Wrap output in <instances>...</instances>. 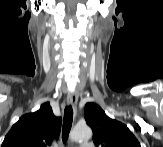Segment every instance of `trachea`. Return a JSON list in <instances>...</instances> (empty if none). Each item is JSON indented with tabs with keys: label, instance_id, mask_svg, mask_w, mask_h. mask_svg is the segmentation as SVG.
<instances>
[{
	"label": "trachea",
	"instance_id": "trachea-1",
	"mask_svg": "<svg viewBox=\"0 0 163 147\" xmlns=\"http://www.w3.org/2000/svg\"><path fill=\"white\" fill-rule=\"evenodd\" d=\"M73 121V109L72 106H66L64 110V119H63V127H62V141L66 143L68 139V135L72 126Z\"/></svg>",
	"mask_w": 163,
	"mask_h": 147
}]
</instances>
